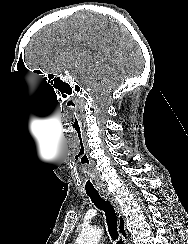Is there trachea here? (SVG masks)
<instances>
[{
  "mask_svg": "<svg viewBox=\"0 0 188 244\" xmlns=\"http://www.w3.org/2000/svg\"><path fill=\"white\" fill-rule=\"evenodd\" d=\"M86 194L90 197L92 203L105 213L108 232L111 239L114 241L118 240L117 216L113 205L98 194L95 188V183H93L92 180H89L88 183H86ZM117 244H123V241L118 240Z\"/></svg>",
  "mask_w": 188,
  "mask_h": 244,
  "instance_id": "3493384b",
  "label": "trachea"
}]
</instances>
